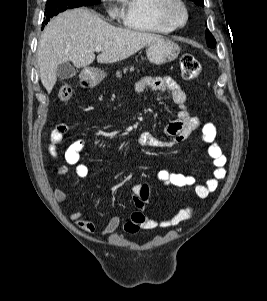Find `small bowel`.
<instances>
[{
    "label": "small bowel",
    "mask_w": 267,
    "mask_h": 301,
    "mask_svg": "<svg viewBox=\"0 0 267 301\" xmlns=\"http://www.w3.org/2000/svg\"><path fill=\"white\" fill-rule=\"evenodd\" d=\"M146 89L164 92L170 95L175 104L180 108L177 118L167 124L165 133L167 139H160L148 132H143L138 137V144L143 147L165 148L173 147L186 140L193 131L201 127V138L207 144V152L212 159L214 166L213 176L204 184H196L195 178L183 173L171 172L169 170H159L157 178L164 186L168 187H187L194 186V193L198 199H205L211 193L217 190L219 182L226 176L227 158L216 141L217 128L211 122L202 123L196 116H191L186 110L187 95L183 88L168 76H147L140 79L135 84V90L138 93ZM69 130V126L64 122L57 123L50 133L49 150L53 156H57V145L62 142ZM85 148V140L77 139L72 142L64 152L65 165L58 168L60 175H67L70 167L74 168L75 174L79 178H86L89 175L88 167L80 162L81 152ZM141 185L135 184L132 187V195L138 211L131 215L128 222L123 225V229L127 233H135L140 229H154L158 227L175 226L188 220L194 213L193 207L178 210L163 219L148 218L143 214V209L148 201L140 199ZM54 198L58 202L66 199V193L62 189L54 191ZM75 225L88 234H92L96 230L95 224L83 218L79 211L73 212L69 216ZM121 219L117 214H113L105 223L101 230L103 236L113 234L120 226Z\"/></svg>",
    "instance_id": "1"
}]
</instances>
